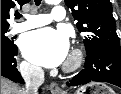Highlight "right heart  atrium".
<instances>
[{"label":"right heart atrium","mask_w":121,"mask_h":94,"mask_svg":"<svg viewBox=\"0 0 121 94\" xmlns=\"http://www.w3.org/2000/svg\"><path fill=\"white\" fill-rule=\"evenodd\" d=\"M20 71L25 76H35L39 73V69L28 61L21 62Z\"/></svg>","instance_id":"1"}]
</instances>
